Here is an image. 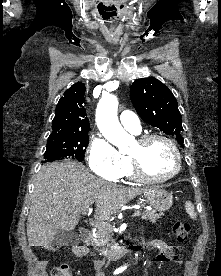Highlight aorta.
Instances as JSON below:
<instances>
[{
    "instance_id": "762f6f07",
    "label": "aorta",
    "mask_w": 221,
    "mask_h": 276,
    "mask_svg": "<svg viewBox=\"0 0 221 276\" xmlns=\"http://www.w3.org/2000/svg\"><path fill=\"white\" fill-rule=\"evenodd\" d=\"M117 109L116 96H103L97 105L96 123L106 140L118 148H123L129 140V135L119 123Z\"/></svg>"
}]
</instances>
